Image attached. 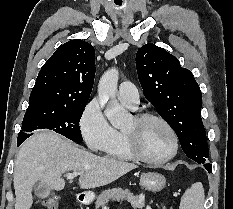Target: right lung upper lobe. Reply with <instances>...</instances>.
Masks as SVG:
<instances>
[{"label": "right lung upper lobe", "instance_id": "1", "mask_svg": "<svg viewBox=\"0 0 233 209\" xmlns=\"http://www.w3.org/2000/svg\"><path fill=\"white\" fill-rule=\"evenodd\" d=\"M94 76V47L80 39L66 42L42 66L29 106L67 107L86 103Z\"/></svg>", "mask_w": 233, "mask_h": 209}]
</instances>
